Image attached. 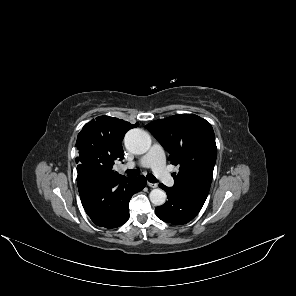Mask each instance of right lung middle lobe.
<instances>
[{
	"label": "right lung middle lobe",
	"instance_id": "right-lung-middle-lobe-1",
	"mask_svg": "<svg viewBox=\"0 0 296 296\" xmlns=\"http://www.w3.org/2000/svg\"><path fill=\"white\" fill-rule=\"evenodd\" d=\"M79 164H83L88 169H90L94 174L100 176L101 169H100V158L99 155L92 151H87L83 153V155L79 158ZM77 161V162H78Z\"/></svg>",
	"mask_w": 296,
	"mask_h": 296
}]
</instances>
